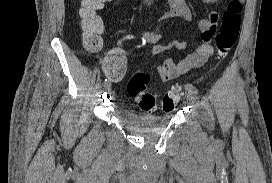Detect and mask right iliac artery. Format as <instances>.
Returning <instances> with one entry per match:
<instances>
[{
	"instance_id": "right-iliac-artery-1",
	"label": "right iliac artery",
	"mask_w": 272,
	"mask_h": 183,
	"mask_svg": "<svg viewBox=\"0 0 272 183\" xmlns=\"http://www.w3.org/2000/svg\"><path fill=\"white\" fill-rule=\"evenodd\" d=\"M108 83H109V81H108L107 79H105V81H104V84H103V85L105 86V85H107Z\"/></svg>"
}]
</instances>
